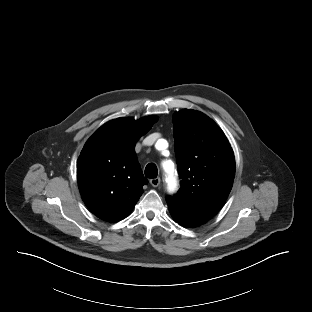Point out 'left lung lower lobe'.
<instances>
[{
  "mask_svg": "<svg viewBox=\"0 0 312 312\" xmlns=\"http://www.w3.org/2000/svg\"><path fill=\"white\" fill-rule=\"evenodd\" d=\"M172 217L180 224L184 225V226H187V227H197L199 226L198 224H195V223H192L188 220H184V219H180L174 215H172Z\"/></svg>",
  "mask_w": 312,
  "mask_h": 312,
  "instance_id": "0a47b994",
  "label": "left lung lower lobe"
}]
</instances>
